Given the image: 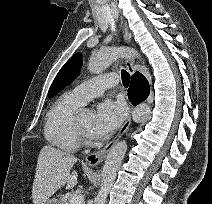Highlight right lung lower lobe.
Here are the masks:
<instances>
[{
    "label": "right lung lower lobe",
    "mask_w": 212,
    "mask_h": 204,
    "mask_svg": "<svg viewBox=\"0 0 212 204\" xmlns=\"http://www.w3.org/2000/svg\"><path fill=\"white\" fill-rule=\"evenodd\" d=\"M150 92V87L146 78L139 72H136L131 78V84L128 89V97L133 105L144 101Z\"/></svg>",
    "instance_id": "right-lung-lower-lobe-1"
}]
</instances>
